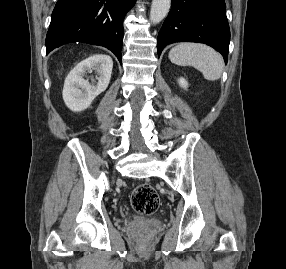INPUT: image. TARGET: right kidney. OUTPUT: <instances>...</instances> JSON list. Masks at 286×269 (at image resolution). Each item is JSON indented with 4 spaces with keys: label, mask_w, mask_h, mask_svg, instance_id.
Instances as JSON below:
<instances>
[{
    "label": "right kidney",
    "mask_w": 286,
    "mask_h": 269,
    "mask_svg": "<svg viewBox=\"0 0 286 269\" xmlns=\"http://www.w3.org/2000/svg\"><path fill=\"white\" fill-rule=\"evenodd\" d=\"M113 61L110 56L93 55L78 63L68 74L63 88V100L66 106L75 112L87 109L92 101L109 85ZM95 71L97 82L89 83L85 74Z\"/></svg>",
    "instance_id": "1"
}]
</instances>
